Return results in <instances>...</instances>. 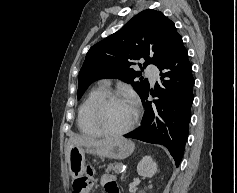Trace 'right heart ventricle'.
Returning <instances> with one entry per match:
<instances>
[{
	"mask_svg": "<svg viewBox=\"0 0 237 193\" xmlns=\"http://www.w3.org/2000/svg\"><path fill=\"white\" fill-rule=\"evenodd\" d=\"M106 91V86L96 87L88 93L81 103L77 117V125L81 133L92 137H99L102 135L96 130L90 120V110L95 100Z\"/></svg>",
	"mask_w": 237,
	"mask_h": 193,
	"instance_id": "1",
	"label": "right heart ventricle"
}]
</instances>
